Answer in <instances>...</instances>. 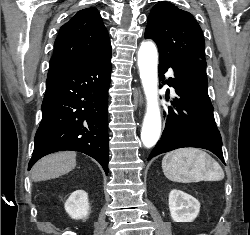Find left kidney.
<instances>
[{
	"instance_id": "left-kidney-1",
	"label": "left kidney",
	"mask_w": 250,
	"mask_h": 235,
	"mask_svg": "<svg viewBox=\"0 0 250 235\" xmlns=\"http://www.w3.org/2000/svg\"><path fill=\"white\" fill-rule=\"evenodd\" d=\"M169 209L174 222H192L199 214L200 203L193 196L173 189L169 194Z\"/></svg>"
}]
</instances>
